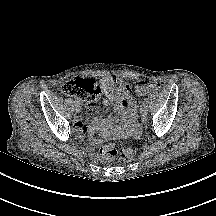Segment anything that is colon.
Segmentation results:
<instances>
[{
  "label": "colon",
  "instance_id": "1",
  "mask_svg": "<svg viewBox=\"0 0 216 216\" xmlns=\"http://www.w3.org/2000/svg\"><path fill=\"white\" fill-rule=\"evenodd\" d=\"M154 82H140L132 87L137 96H144L158 89ZM61 90L64 94L74 96L84 102L94 103L102 94V87L93 79L76 78L63 84ZM100 153L107 157L116 158L118 163L129 162L133 158V150L129 146L119 147L113 143L101 146Z\"/></svg>",
  "mask_w": 216,
  "mask_h": 216
}]
</instances>
